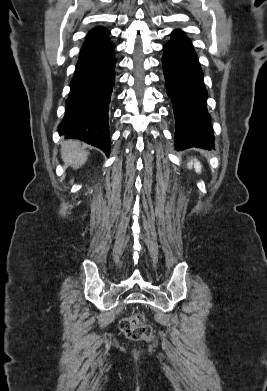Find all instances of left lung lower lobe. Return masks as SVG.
Listing matches in <instances>:
<instances>
[{
  "mask_svg": "<svg viewBox=\"0 0 267 391\" xmlns=\"http://www.w3.org/2000/svg\"><path fill=\"white\" fill-rule=\"evenodd\" d=\"M162 63L167 94L175 115V147L214 148L213 130L206 107L208 97L203 72L191 41L180 30L163 47Z\"/></svg>",
  "mask_w": 267,
  "mask_h": 391,
  "instance_id": "left-lung-lower-lobe-1",
  "label": "left lung lower lobe"
}]
</instances>
